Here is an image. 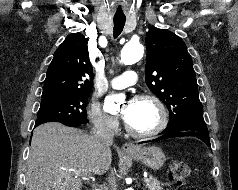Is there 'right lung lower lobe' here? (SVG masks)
<instances>
[{
	"label": "right lung lower lobe",
	"instance_id": "98d812e1",
	"mask_svg": "<svg viewBox=\"0 0 238 190\" xmlns=\"http://www.w3.org/2000/svg\"><path fill=\"white\" fill-rule=\"evenodd\" d=\"M65 125H67V126H72V127H76V126H80V125H83V124H81V123H67V124H65ZM36 127V126H35Z\"/></svg>",
	"mask_w": 238,
	"mask_h": 190
}]
</instances>
